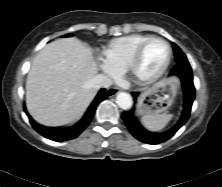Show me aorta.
Returning <instances> with one entry per match:
<instances>
[{"instance_id": "obj_1", "label": "aorta", "mask_w": 222, "mask_h": 187, "mask_svg": "<svg viewBox=\"0 0 222 187\" xmlns=\"http://www.w3.org/2000/svg\"><path fill=\"white\" fill-rule=\"evenodd\" d=\"M116 103L122 109H130L132 106V97L128 93L121 92L116 97Z\"/></svg>"}]
</instances>
